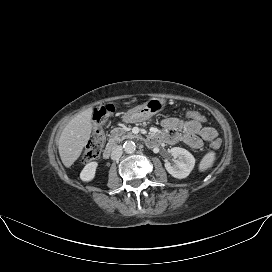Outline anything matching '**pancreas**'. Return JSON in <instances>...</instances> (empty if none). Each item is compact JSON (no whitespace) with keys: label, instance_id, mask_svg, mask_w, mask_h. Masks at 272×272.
<instances>
[{"label":"pancreas","instance_id":"1","mask_svg":"<svg viewBox=\"0 0 272 272\" xmlns=\"http://www.w3.org/2000/svg\"><path fill=\"white\" fill-rule=\"evenodd\" d=\"M136 137L131 132L126 133L124 130H116L113 132L111 136L110 142H120L126 138H134Z\"/></svg>","mask_w":272,"mask_h":272}]
</instances>
